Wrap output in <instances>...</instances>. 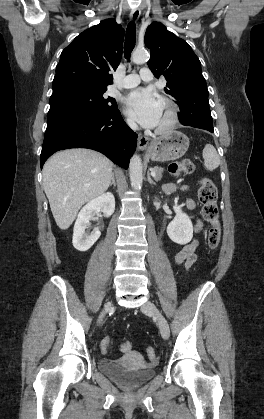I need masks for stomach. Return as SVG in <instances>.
Here are the masks:
<instances>
[{"label":"stomach","mask_w":264,"mask_h":419,"mask_svg":"<svg viewBox=\"0 0 264 419\" xmlns=\"http://www.w3.org/2000/svg\"><path fill=\"white\" fill-rule=\"evenodd\" d=\"M188 148L189 138L182 132L172 131L151 142L147 152L153 161L164 162L181 158Z\"/></svg>","instance_id":"0dacf381"}]
</instances>
